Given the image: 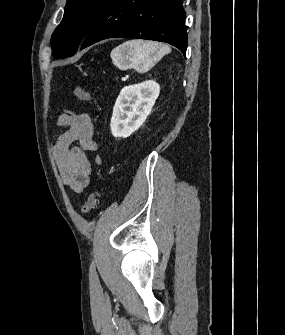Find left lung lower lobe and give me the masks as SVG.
<instances>
[{
    "label": "left lung lower lobe",
    "instance_id": "0a47b994",
    "mask_svg": "<svg viewBox=\"0 0 285 335\" xmlns=\"http://www.w3.org/2000/svg\"><path fill=\"white\" fill-rule=\"evenodd\" d=\"M107 38H141L169 43L185 56L188 37L182 0H110L80 46Z\"/></svg>",
    "mask_w": 285,
    "mask_h": 335
}]
</instances>
